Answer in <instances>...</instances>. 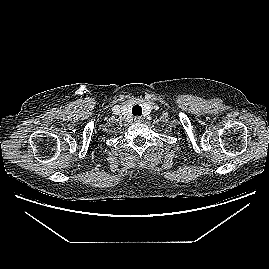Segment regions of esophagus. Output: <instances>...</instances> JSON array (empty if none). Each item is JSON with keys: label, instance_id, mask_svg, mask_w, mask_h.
Instances as JSON below:
<instances>
[{"label": "esophagus", "instance_id": "1", "mask_svg": "<svg viewBox=\"0 0 269 269\" xmlns=\"http://www.w3.org/2000/svg\"><path fill=\"white\" fill-rule=\"evenodd\" d=\"M134 121L136 123H140V122H142V118L140 116H136V117H134Z\"/></svg>", "mask_w": 269, "mask_h": 269}]
</instances>
